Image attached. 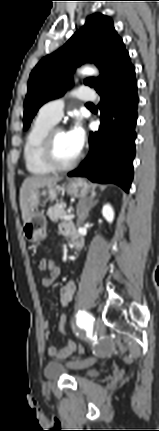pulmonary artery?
Masks as SVG:
<instances>
[{
  "label": "pulmonary artery",
  "mask_w": 159,
  "mask_h": 431,
  "mask_svg": "<svg viewBox=\"0 0 159 431\" xmlns=\"http://www.w3.org/2000/svg\"><path fill=\"white\" fill-rule=\"evenodd\" d=\"M72 94L82 101H93L96 97L95 92L88 86H80L75 89ZM65 106L64 98H57L44 104L40 109V114L54 123H57L63 116Z\"/></svg>",
  "instance_id": "e3ab8cb5"
}]
</instances>
